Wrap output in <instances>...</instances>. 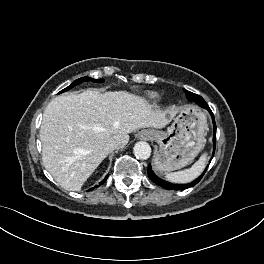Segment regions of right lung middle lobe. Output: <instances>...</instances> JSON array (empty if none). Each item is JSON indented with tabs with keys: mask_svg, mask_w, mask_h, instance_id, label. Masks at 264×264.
Instances as JSON below:
<instances>
[{
	"mask_svg": "<svg viewBox=\"0 0 264 264\" xmlns=\"http://www.w3.org/2000/svg\"><path fill=\"white\" fill-rule=\"evenodd\" d=\"M86 81H92V82H96V83H102L104 82V79H93V78H90V77H82V78H79L77 80H75L70 86H68L67 88L63 89L62 91H60L59 93H62L64 91H67L71 88H73L74 86L82 83V82H86Z\"/></svg>",
	"mask_w": 264,
	"mask_h": 264,
	"instance_id": "right-lung-middle-lobe-1",
	"label": "right lung middle lobe"
}]
</instances>
